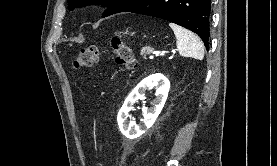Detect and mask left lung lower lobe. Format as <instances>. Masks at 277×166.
<instances>
[{"mask_svg": "<svg viewBox=\"0 0 277 166\" xmlns=\"http://www.w3.org/2000/svg\"><path fill=\"white\" fill-rule=\"evenodd\" d=\"M122 12L164 19L197 33L209 47L210 0H139Z\"/></svg>", "mask_w": 277, "mask_h": 166, "instance_id": "0a47b994", "label": "left lung lower lobe"}]
</instances>
